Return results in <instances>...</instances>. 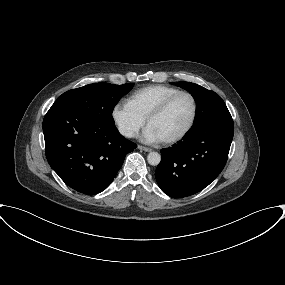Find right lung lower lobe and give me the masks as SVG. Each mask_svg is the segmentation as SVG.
<instances>
[{
	"mask_svg": "<svg viewBox=\"0 0 285 285\" xmlns=\"http://www.w3.org/2000/svg\"><path fill=\"white\" fill-rule=\"evenodd\" d=\"M48 163L72 189L87 195L105 190L137 146L115 125L98 122L76 109L55 105L43 120Z\"/></svg>",
	"mask_w": 285,
	"mask_h": 285,
	"instance_id": "98d812e1",
	"label": "right lung lower lobe"
}]
</instances>
